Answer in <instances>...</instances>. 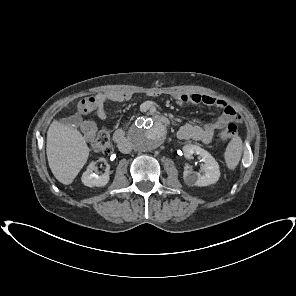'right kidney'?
Returning <instances> with one entry per match:
<instances>
[{
  "label": "right kidney",
  "instance_id": "ca27d5eb",
  "mask_svg": "<svg viewBox=\"0 0 296 296\" xmlns=\"http://www.w3.org/2000/svg\"><path fill=\"white\" fill-rule=\"evenodd\" d=\"M95 169H96L95 163L91 162L81 177L82 183L88 187L106 186L110 180L109 170L106 169V172L103 175L99 176L94 173Z\"/></svg>",
  "mask_w": 296,
  "mask_h": 296
}]
</instances>
